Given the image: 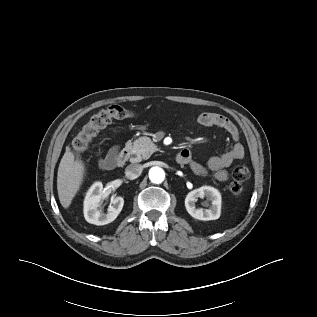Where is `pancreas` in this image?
I'll list each match as a JSON object with an SVG mask.
<instances>
[{
	"label": "pancreas",
	"instance_id": "obj_1",
	"mask_svg": "<svg viewBox=\"0 0 317 317\" xmlns=\"http://www.w3.org/2000/svg\"><path fill=\"white\" fill-rule=\"evenodd\" d=\"M126 147L130 151L131 162L147 160L157 150L156 145L146 136L140 137L134 142L129 141Z\"/></svg>",
	"mask_w": 317,
	"mask_h": 317
}]
</instances>
